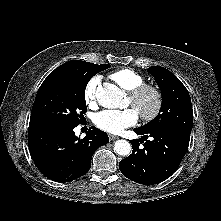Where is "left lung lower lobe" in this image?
<instances>
[{
    "label": "left lung lower lobe",
    "mask_w": 221,
    "mask_h": 221,
    "mask_svg": "<svg viewBox=\"0 0 221 221\" xmlns=\"http://www.w3.org/2000/svg\"><path fill=\"white\" fill-rule=\"evenodd\" d=\"M134 132L143 136L131 141L132 154L120 161V171L139 184L150 185L167 179L181 163L190 135L171 130L144 132L138 128ZM148 136L151 140H147ZM139 142L144 147H139Z\"/></svg>",
    "instance_id": "1"
}]
</instances>
